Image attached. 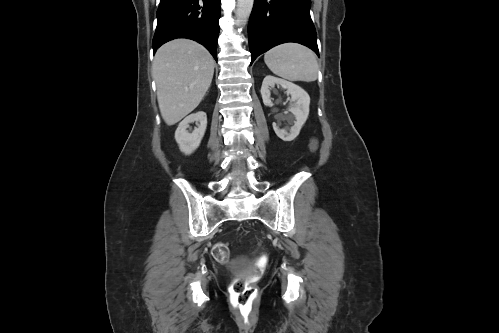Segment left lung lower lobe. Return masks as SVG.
Wrapping results in <instances>:
<instances>
[{
  "label": "left lung lower lobe",
  "mask_w": 499,
  "mask_h": 333,
  "mask_svg": "<svg viewBox=\"0 0 499 333\" xmlns=\"http://www.w3.org/2000/svg\"><path fill=\"white\" fill-rule=\"evenodd\" d=\"M310 7L311 0H255L248 24L251 64L262 53L286 42L305 45L319 56Z\"/></svg>",
  "instance_id": "0a47b994"
}]
</instances>
